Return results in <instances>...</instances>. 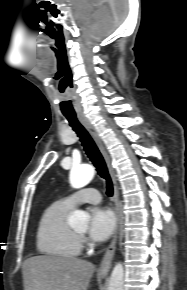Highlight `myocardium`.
I'll return each instance as SVG.
<instances>
[{"label": "myocardium", "mask_w": 187, "mask_h": 290, "mask_svg": "<svg viewBox=\"0 0 187 290\" xmlns=\"http://www.w3.org/2000/svg\"><path fill=\"white\" fill-rule=\"evenodd\" d=\"M75 234L77 235V237L79 238V239H81L82 237H81V234H79V233H76L75 232Z\"/></svg>", "instance_id": "1"}]
</instances>
